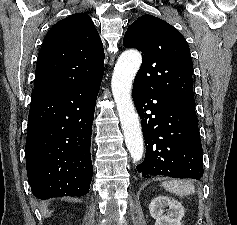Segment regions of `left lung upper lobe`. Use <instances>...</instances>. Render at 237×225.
<instances>
[{
    "mask_svg": "<svg viewBox=\"0 0 237 225\" xmlns=\"http://www.w3.org/2000/svg\"><path fill=\"white\" fill-rule=\"evenodd\" d=\"M123 44L142 52L133 85L159 95L194 99L190 49L173 26L143 15L128 27Z\"/></svg>",
    "mask_w": 237,
    "mask_h": 225,
    "instance_id": "obj_1",
    "label": "left lung upper lobe"
}]
</instances>
